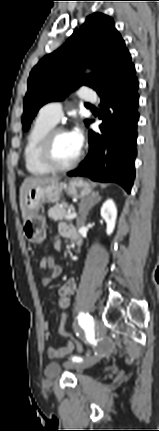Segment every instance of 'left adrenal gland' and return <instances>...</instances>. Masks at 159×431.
<instances>
[{
	"instance_id": "a2214340",
	"label": "left adrenal gland",
	"mask_w": 159,
	"mask_h": 431,
	"mask_svg": "<svg viewBox=\"0 0 159 431\" xmlns=\"http://www.w3.org/2000/svg\"><path fill=\"white\" fill-rule=\"evenodd\" d=\"M100 200H101V197L99 196L98 192H96L93 196H91L87 200H83L80 202L79 204L80 218H78L77 220L78 225H82L85 223L89 210L93 206H95V204H97Z\"/></svg>"
}]
</instances>
